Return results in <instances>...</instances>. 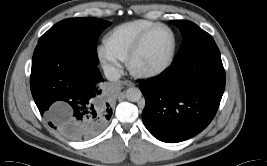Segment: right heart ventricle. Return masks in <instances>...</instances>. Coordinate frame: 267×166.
Instances as JSON below:
<instances>
[{
  "instance_id": "1",
  "label": "right heart ventricle",
  "mask_w": 267,
  "mask_h": 166,
  "mask_svg": "<svg viewBox=\"0 0 267 166\" xmlns=\"http://www.w3.org/2000/svg\"><path fill=\"white\" fill-rule=\"evenodd\" d=\"M156 24V22L146 19L123 23L110 31L107 42L120 58L125 60L141 35Z\"/></svg>"
}]
</instances>
